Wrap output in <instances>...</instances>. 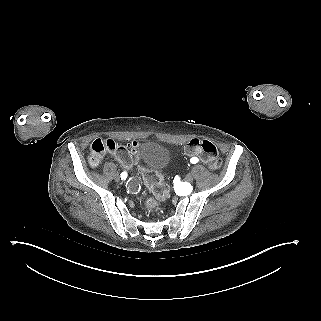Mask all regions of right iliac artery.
Segmentation results:
<instances>
[{"mask_svg": "<svg viewBox=\"0 0 321 321\" xmlns=\"http://www.w3.org/2000/svg\"><path fill=\"white\" fill-rule=\"evenodd\" d=\"M120 176H121V179H122V180H125V179L127 178V173H126V172H122V173L120 174Z\"/></svg>", "mask_w": 321, "mask_h": 321, "instance_id": "obj_1", "label": "right iliac artery"}]
</instances>
